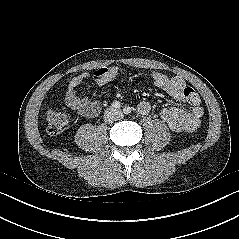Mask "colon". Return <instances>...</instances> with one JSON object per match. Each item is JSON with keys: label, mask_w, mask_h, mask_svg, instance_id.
I'll return each instance as SVG.
<instances>
[{"label": "colon", "mask_w": 239, "mask_h": 239, "mask_svg": "<svg viewBox=\"0 0 239 239\" xmlns=\"http://www.w3.org/2000/svg\"><path fill=\"white\" fill-rule=\"evenodd\" d=\"M183 95L189 105H199L200 97L194 88L186 86ZM46 122L48 132L51 135H57L70 124L71 115L66 111L50 110L46 114Z\"/></svg>", "instance_id": "colon-1"}]
</instances>
